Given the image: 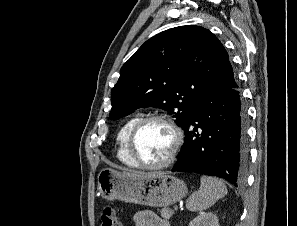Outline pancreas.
Masks as SVG:
<instances>
[{
	"label": "pancreas",
	"mask_w": 297,
	"mask_h": 226,
	"mask_svg": "<svg viewBox=\"0 0 297 226\" xmlns=\"http://www.w3.org/2000/svg\"><path fill=\"white\" fill-rule=\"evenodd\" d=\"M172 214H173V211L171 209H169V208L164 207V208H162L160 210V215L164 219H170V217L172 216Z\"/></svg>",
	"instance_id": "1"
}]
</instances>
